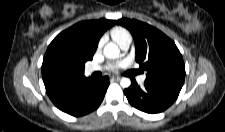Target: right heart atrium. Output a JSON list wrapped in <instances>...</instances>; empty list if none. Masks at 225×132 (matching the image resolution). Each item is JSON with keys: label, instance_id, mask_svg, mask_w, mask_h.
Here are the masks:
<instances>
[{"label": "right heart atrium", "instance_id": "right-heart-atrium-1", "mask_svg": "<svg viewBox=\"0 0 225 132\" xmlns=\"http://www.w3.org/2000/svg\"><path fill=\"white\" fill-rule=\"evenodd\" d=\"M102 45V41L99 42L98 47H100Z\"/></svg>", "mask_w": 225, "mask_h": 132}]
</instances>
